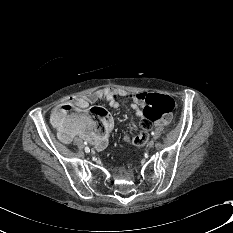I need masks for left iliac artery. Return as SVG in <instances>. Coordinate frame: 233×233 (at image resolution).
Returning a JSON list of instances; mask_svg holds the SVG:
<instances>
[{
	"mask_svg": "<svg viewBox=\"0 0 233 233\" xmlns=\"http://www.w3.org/2000/svg\"><path fill=\"white\" fill-rule=\"evenodd\" d=\"M151 134H152V135H154L155 133H154V132H152Z\"/></svg>",
	"mask_w": 233,
	"mask_h": 233,
	"instance_id": "44dca946",
	"label": "left iliac artery"
}]
</instances>
